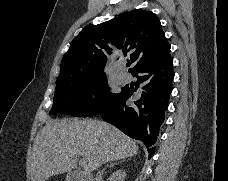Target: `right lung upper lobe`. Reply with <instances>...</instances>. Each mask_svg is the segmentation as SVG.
Here are the masks:
<instances>
[{
  "mask_svg": "<svg viewBox=\"0 0 228 181\" xmlns=\"http://www.w3.org/2000/svg\"><path fill=\"white\" fill-rule=\"evenodd\" d=\"M114 46L136 67L170 45L159 19L145 10H132L98 24L86 26L65 53L57 85L106 77L104 67L111 54L107 43Z\"/></svg>",
  "mask_w": 228,
  "mask_h": 181,
  "instance_id": "cb5924a9",
  "label": "right lung upper lobe"
}]
</instances>
